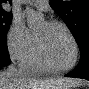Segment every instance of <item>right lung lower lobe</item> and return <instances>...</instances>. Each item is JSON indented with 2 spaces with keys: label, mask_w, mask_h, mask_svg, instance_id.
I'll return each instance as SVG.
<instances>
[{
  "label": "right lung lower lobe",
  "mask_w": 89,
  "mask_h": 89,
  "mask_svg": "<svg viewBox=\"0 0 89 89\" xmlns=\"http://www.w3.org/2000/svg\"><path fill=\"white\" fill-rule=\"evenodd\" d=\"M10 63L6 42L0 45V69Z\"/></svg>",
  "instance_id": "obj_1"
}]
</instances>
